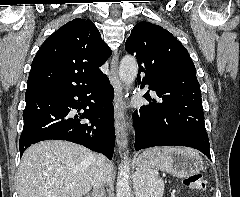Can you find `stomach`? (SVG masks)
Returning a JSON list of instances; mask_svg holds the SVG:
<instances>
[{
  "label": "stomach",
  "mask_w": 240,
  "mask_h": 197,
  "mask_svg": "<svg viewBox=\"0 0 240 197\" xmlns=\"http://www.w3.org/2000/svg\"><path fill=\"white\" fill-rule=\"evenodd\" d=\"M140 173L144 175L148 170L160 167L169 174L183 178L200 172L203 169V161L200 155L190 149H174L163 157L159 151L153 149L145 151L136 160ZM136 190L140 197L146 194V180L139 178L136 182Z\"/></svg>",
  "instance_id": "stomach-1"
}]
</instances>
